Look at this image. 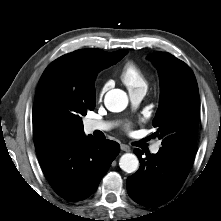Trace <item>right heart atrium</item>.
Segmentation results:
<instances>
[{
  "mask_svg": "<svg viewBox=\"0 0 221 221\" xmlns=\"http://www.w3.org/2000/svg\"><path fill=\"white\" fill-rule=\"evenodd\" d=\"M107 86H108V84L106 83V84L104 85L103 89H102V92L104 91V89H105ZM102 92H101V94H102Z\"/></svg>",
  "mask_w": 221,
  "mask_h": 221,
  "instance_id": "1",
  "label": "right heart atrium"
}]
</instances>
